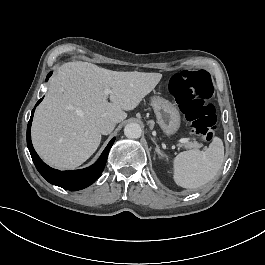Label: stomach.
Segmentation results:
<instances>
[{
	"instance_id": "1",
	"label": "stomach",
	"mask_w": 265,
	"mask_h": 265,
	"mask_svg": "<svg viewBox=\"0 0 265 265\" xmlns=\"http://www.w3.org/2000/svg\"><path fill=\"white\" fill-rule=\"evenodd\" d=\"M152 105L163 134L167 137L176 134L181 124V116L177 107L157 96L153 98Z\"/></svg>"
}]
</instances>
